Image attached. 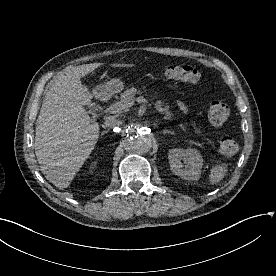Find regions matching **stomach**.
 I'll list each match as a JSON object with an SVG mask.
<instances>
[{
  "mask_svg": "<svg viewBox=\"0 0 276 276\" xmlns=\"http://www.w3.org/2000/svg\"><path fill=\"white\" fill-rule=\"evenodd\" d=\"M124 88V83L120 78L111 79L108 82L100 84L94 88V94L97 97H108L115 93L122 91Z\"/></svg>",
  "mask_w": 276,
  "mask_h": 276,
  "instance_id": "0dacf381",
  "label": "stomach"
}]
</instances>
